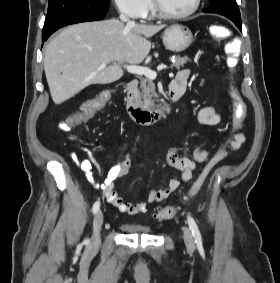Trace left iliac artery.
I'll list each match as a JSON object with an SVG mask.
<instances>
[{
    "label": "left iliac artery",
    "mask_w": 280,
    "mask_h": 283,
    "mask_svg": "<svg viewBox=\"0 0 280 283\" xmlns=\"http://www.w3.org/2000/svg\"><path fill=\"white\" fill-rule=\"evenodd\" d=\"M187 220H188L189 228L192 232V235L195 238V242L201 243V241H202L201 234H200L199 228H198L195 220L190 215H188Z\"/></svg>",
    "instance_id": "44dca946"
}]
</instances>
